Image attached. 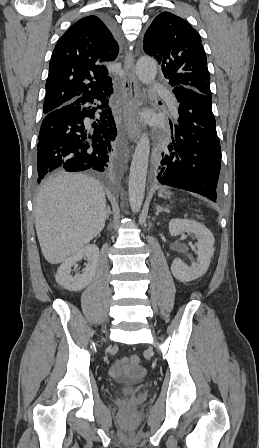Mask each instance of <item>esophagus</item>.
Segmentation results:
<instances>
[{"label": "esophagus", "instance_id": "obj_1", "mask_svg": "<svg viewBox=\"0 0 259 448\" xmlns=\"http://www.w3.org/2000/svg\"><path fill=\"white\" fill-rule=\"evenodd\" d=\"M135 57L133 53H126L123 71L122 87L126 104V129L128 136L136 140L140 134L139 110L142 105L138 82L135 73Z\"/></svg>", "mask_w": 259, "mask_h": 448}]
</instances>
